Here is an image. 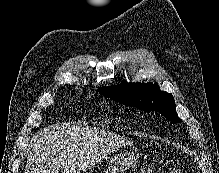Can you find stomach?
I'll list each match as a JSON object with an SVG mask.
<instances>
[{"mask_svg": "<svg viewBox=\"0 0 219 173\" xmlns=\"http://www.w3.org/2000/svg\"><path fill=\"white\" fill-rule=\"evenodd\" d=\"M137 163V156L132 151L123 150L110 158L106 173H125Z\"/></svg>", "mask_w": 219, "mask_h": 173, "instance_id": "obj_1", "label": "stomach"}]
</instances>
